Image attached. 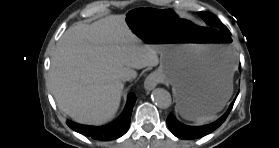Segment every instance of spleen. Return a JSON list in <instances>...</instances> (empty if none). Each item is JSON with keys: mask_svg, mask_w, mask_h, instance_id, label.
I'll return each mask as SVG.
<instances>
[{"mask_svg": "<svg viewBox=\"0 0 279 148\" xmlns=\"http://www.w3.org/2000/svg\"><path fill=\"white\" fill-rule=\"evenodd\" d=\"M231 53H232V51H231ZM232 55H233V53H232ZM234 57V56H233ZM235 60V59H234ZM231 87H232V91H233V85H232V83H231ZM231 95H232V92H231ZM231 95H230V97H231ZM229 97V98H230ZM217 118V116L216 115H212V116H208V117H197V118H195L194 119V121L196 122V124H198V125H202V124H206V123H208V122H210V121H213V120H215Z\"/></svg>", "mask_w": 279, "mask_h": 148, "instance_id": "spleen-1", "label": "spleen"}]
</instances>
